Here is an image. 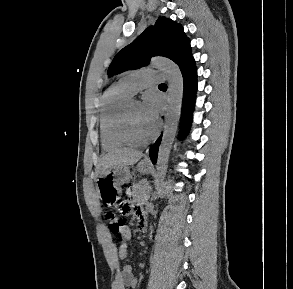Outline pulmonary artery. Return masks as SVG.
I'll list each match as a JSON object with an SVG mask.
<instances>
[{"label":"pulmonary artery","instance_id":"obj_1","mask_svg":"<svg viewBox=\"0 0 293 289\" xmlns=\"http://www.w3.org/2000/svg\"><path fill=\"white\" fill-rule=\"evenodd\" d=\"M163 79V74L161 72L151 69H142L127 74L119 83L134 95L144 87L150 84L160 83Z\"/></svg>","mask_w":293,"mask_h":289}]
</instances>
